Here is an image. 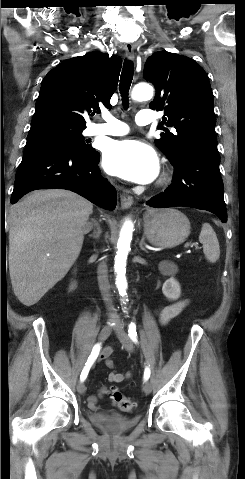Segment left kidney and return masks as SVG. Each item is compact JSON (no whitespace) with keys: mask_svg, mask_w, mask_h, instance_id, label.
<instances>
[{"mask_svg":"<svg viewBox=\"0 0 245 479\" xmlns=\"http://www.w3.org/2000/svg\"><path fill=\"white\" fill-rule=\"evenodd\" d=\"M159 271L162 275L170 276L162 286V292L169 300H177L181 294L179 282L174 278L178 272V267L175 263L170 261H162L159 264Z\"/></svg>","mask_w":245,"mask_h":479,"instance_id":"1","label":"left kidney"}]
</instances>
